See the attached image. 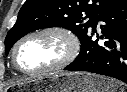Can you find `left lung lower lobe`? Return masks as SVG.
<instances>
[{
	"instance_id": "left-lung-lower-lobe-1",
	"label": "left lung lower lobe",
	"mask_w": 127,
	"mask_h": 92,
	"mask_svg": "<svg viewBox=\"0 0 127 92\" xmlns=\"http://www.w3.org/2000/svg\"><path fill=\"white\" fill-rule=\"evenodd\" d=\"M99 20L105 23L100 26L106 39L105 46L98 45V39L91 40L96 32V22L89 34L82 39L79 55L64 70L88 71L127 83V0H120L112 5Z\"/></svg>"
}]
</instances>
